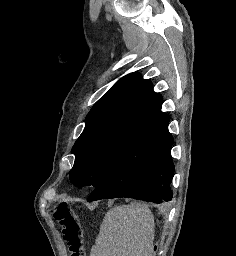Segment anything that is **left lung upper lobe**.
<instances>
[{"label": "left lung upper lobe", "instance_id": "1", "mask_svg": "<svg viewBox=\"0 0 236 256\" xmlns=\"http://www.w3.org/2000/svg\"><path fill=\"white\" fill-rule=\"evenodd\" d=\"M163 99L137 72L117 81L92 107L72 148L70 181L96 187L111 171L134 133L157 111Z\"/></svg>", "mask_w": 236, "mask_h": 256}]
</instances>
